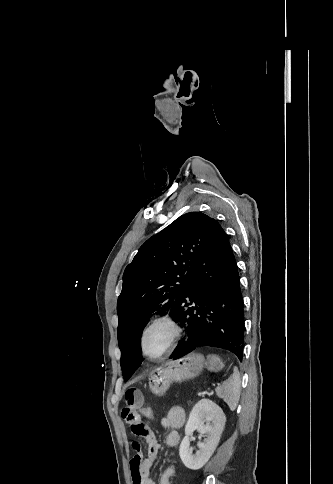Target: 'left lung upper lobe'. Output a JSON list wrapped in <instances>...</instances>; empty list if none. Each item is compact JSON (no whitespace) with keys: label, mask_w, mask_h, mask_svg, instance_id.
<instances>
[{"label":"left lung upper lobe","mask_w":333,"mask_h":484,"mask_svg":"<svg viewBox=\"0 0 333 484\" xmlns=\"http://www.w3.org/2000/svg\"><path fill=\"white\" fill-rule=\"evenodd\" d=\"M214 219L189 212L148 239L123 274L117 302L121 368L127 381L140 366V338L148 319L169 311L187 291L186 273ZM187 298H184L186 301Z\"/></svg>","instance_id":"obj_1"}]
</instances>
